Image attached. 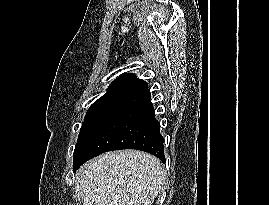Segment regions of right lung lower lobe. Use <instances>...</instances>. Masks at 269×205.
Returning <instances> with one entry per match:
<instances>
[{"mask_svg":"<svg viewBox=\"0 0 269 205\" xmlns=\"http://www.w3.org/2000/svg\"><path fill=\"white\" fill-rule=\"evenodd\" d=\"M163 137L151 100L126 108L108 122L82 149L74 171L89 159L104 152L137 149L165 163Z\"/></svg>","mask_w":269,"mask_h":205,"instance_id":"obj_1","label":"right lung lower lobe"}]
</instances>
